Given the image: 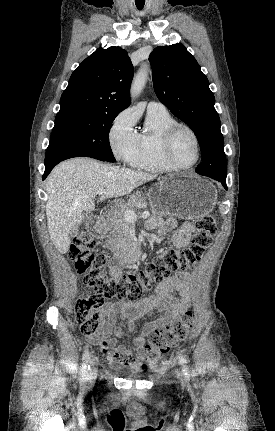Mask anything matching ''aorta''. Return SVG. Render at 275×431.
I'll list each match as a JSON object with an SVG mask.
<instances>
[{"mask_svg":"<svg viewBox=\"0 0 275 431\" xmlns=\"http://www.w3.org/2000/svg\"><path fill=\"white\" fill-rule=\"evenodd\" d=\"M147 77L148 68L146 66H143L133 79L130 91L132 98L137 97L141 93L146 84Z\"/></svg>","mask_w":275,"mask_h":431,"instance_id":"aorta-1","label":"aorta"}]
</instances>
